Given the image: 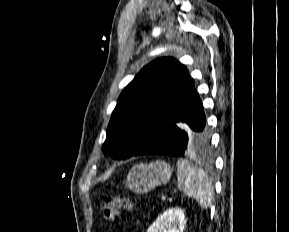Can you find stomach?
Returning a JSON list of instances; mask_svg holds the SVG:
<instances>
[{
	"instance_id": "obj_1",
	"label": "stomach",
	"mask_w": 289,
	"mask_h": 232,
	"mask_svg": "<svg viewBox=\"0 0 289 232\" xmlns=\"http://www.w3.org/2000/svg\"><path fill=\"white\" fill-rule=\"evenodd\" d=\"M171 174L172 168L164 161L140 163L130 169L127 175V185L135 193L143 194L156 186L167 183Z\"/></svg>"
}]
</instances>
